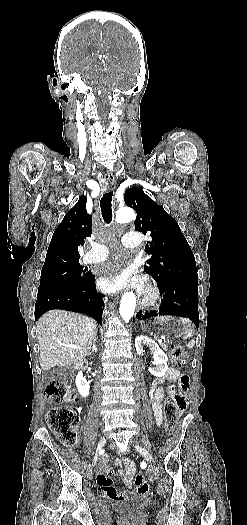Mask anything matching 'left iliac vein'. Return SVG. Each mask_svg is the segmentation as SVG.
<instances>
[{
	"mask_svg": "<svg viewBox=\"0 0 247 525\" xmlns=\"http://www.w3.org/2000/svg\"><path fill=\"white\" fill-rule=\"evenodd\" d=\"M145 442L149 443L148 440H146ZM134 447L144 457V459L147 462H152V460H153L152 455L146 448H144V447H142V446H140L138 444H134Z\"/></svg>",
	"mask_w": 247,
	"mask_h": 525,
	"instance_id": "left-iliac-vein-1",
	"label": "left iliac vein"
}]
</instances>
